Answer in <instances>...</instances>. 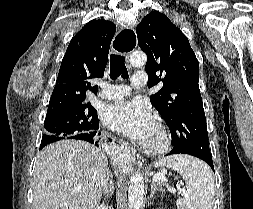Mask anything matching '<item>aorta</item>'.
I'll return each instance as SVG.
<instances>
[{
  "mask_svg": "<svg viewBox=\"0 0 253 209\" xmlns=\"http://www.w3.org/2000/svg\"><path fill=\"white\" fill-rule=\"evenodd\" d=\"M147 61V56L142 52H134L130 56V64L133 67H142ZM131 209H141L144 200V178L139 172L135 173L131 180L128 191Z\"/></svg>",
  "mask_w": 253,
  "mask_h": 209,
  "instance_id": "1",
  "label": "aorta"
}]
</instances>
